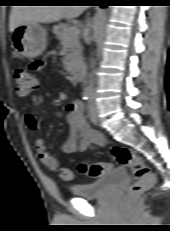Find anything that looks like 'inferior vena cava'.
I'll return each mask as SVG.
<instances>
[{
    "instance_id": "1",
    "label": "inferior vena cava",
    "mask_w": 170,
    "mask_h": 231,
    "mask_svg": "<svg viewBox=\"0 0 170 231\" xmlns=\"http://www.w3.org/2000/svg\"><path fill=\"white\" fill-rule=\"evenodd\" d=\"M87 26H88V25H87ZM88 43H89V42H88ZM91 76H93V74H92ZM93 86H94V82L91 81V84H90V90H91V91H93Z\"/></svg>"
}]
</instances>
